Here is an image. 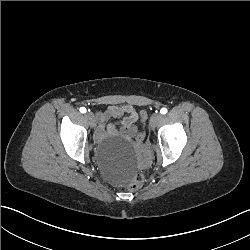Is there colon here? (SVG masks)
I'll return each instance as SVG.
<instances>
[{
	"mask_svg": "<svg viewBox=\"0 0 250 250\" xmlns=\"http://www.w3.org/2000/svg\"><path fill=\"white\" fill-rule=\"evenodd\" d=\"M141 120L144 121L147 118V112L145 110L141 111L140 113ZM145 135L143 133H139L135 141L137 144H142L144 142ZM146 183V178L143 175L136 176L135 180L128 185V190L131 193H138L140 190L143 189L144 185Z\"/></svg>",
	"mask_w": 250,
	"mask_h": 250,
	"instance_id": "5ec220e1",
	"label": "colon"
}]
</instances>
